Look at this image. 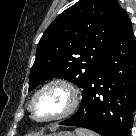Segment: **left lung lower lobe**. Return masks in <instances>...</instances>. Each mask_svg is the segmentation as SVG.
<instances>
[{
	"instance_id": "0a47b994",
	"label": "left lung lower lobe",
	"mask_w": 136,
	"mask_h": 136,
	"mask_svg": "<svg viewBox=\"0 0 136 136\" xmlns=\"http://www.w3.org/2000/svg\"><path fill=\"white\" fill-rule=\"evenodd\" d=\"M136 43L128 16L83 88L79 110L61 125L101 136H129L136 106Z\"/></svg>"
}]
</instances>
